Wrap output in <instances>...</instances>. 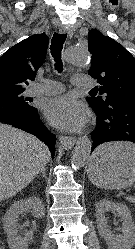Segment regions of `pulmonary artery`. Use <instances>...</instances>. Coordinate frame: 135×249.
Wrapping results in <instances>:
<instances>
[{
    "mask_svg": "<svg viewBox=\"0 0 135 249\" xmlns=\"http://www.w3.org/2000/svg\"><path fill=\"white\" fill-rule=\"evenodd\" d=\"M72 85L78 88H93L96 82L88 76L75 75L72 78ZM64 90L62 83L52 80H45L41 84L34 85L26 90L27 96L53 95Z\"/></svg>",
    "mask_w": 135,
    "mask_h": 249,
    "instance_id": "obj_1",
    "label": "pulmonary artery"
}]
</instances>
